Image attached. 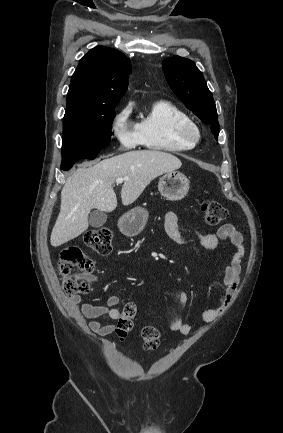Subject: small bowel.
Returning a JSON list of instances; mask_svg holds the SVG:
<instances>
[{
	"instance_id": "small-bowel-1",
	"label": "small bowel",
	"mask_w": 283,
	"mask_h": 433,
	"mask_svg": "<svg viewBox=\"0 0 283 433\" xmlns=\"http://www.w3.org/2000/svg\"><path fill=\"white\" fill-rule=\"evenodd\" d=\"M165 230L168 237L176 244L186 243V239L181 233L178 226V217L174 212H168L164 218ZM196 237L199 245L206 250H214L221 241H228L234 247V254L225 270L223 285L224 293L220 296L218 304L214 308L207 309L203 312L202 318L205 322H213L218 319L233 301L237 286L240 280L241 263L245 254L243 237L239 231L231 224L221 226L216 233H202L196 231ZM181 301L187 300V294L181 292ZM120 298L117 295H111L107 299L106 305H93L82 303L79 295L70 296L67 302V308L72 316L76 319H89V328L100 336H106L112 333L114 325L104 324L99 319L107 316L111 319H117L120 311L117 308ZM171 331L181 334H188L191 331V325L180 318L173 320L169 326Z\"/></svg>"
}]
</instances>
